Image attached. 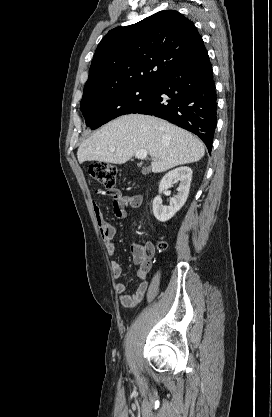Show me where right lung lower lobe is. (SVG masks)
Listing matches in <instances>:
<instances>
[{"mask_svg": "<svg viewBox=\"0 0 272 417\" xmlns=\"http://www.w3.org/2000/svg\"><path fill=\"white\" fill-rule=\"evenodd\" d=\"M217 96L203 46L191 59L155 82L153 97L132 113L154 115L196 134L211 151Z\"/></svg>", "mask_w": 272, "mask_h": 417, "instance_id": "obj_1", "label": "right lung lower lobe"}]
</instances>
